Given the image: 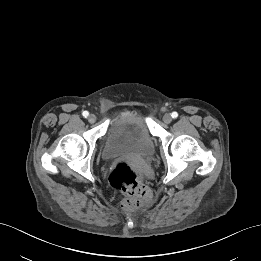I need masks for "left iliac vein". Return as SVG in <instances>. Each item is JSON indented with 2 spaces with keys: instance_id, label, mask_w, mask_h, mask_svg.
<instances>
[{
  "instance_id": "4c4485c4",
  "label": "left iliac vein",
  "mask_w": 261,
  "mask_h": 261,
  "mask_svg": "<svg viewBox=\"0 0 261 261\" xmlns=\"http://www.w3.org/2000/svg\"><path fill=\"white\" fill-rule=\"evenodd\" d=\"M163 121L166 123V124H169V123H171L172 122V116L170 115V114H165L164 116H163Z\"/></svg>"
}]
</instances>
